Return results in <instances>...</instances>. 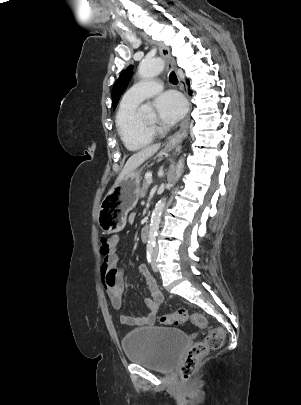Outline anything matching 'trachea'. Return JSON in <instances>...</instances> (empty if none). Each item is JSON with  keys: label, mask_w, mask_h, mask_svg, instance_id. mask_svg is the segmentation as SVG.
Wrapping results in <instances>:
<instances>
[{"label": "trachea", "mask_w": 301, "mask_h": 405, "mask_svg": "<svg viewBox=\"0 0 301 405\" xmlns=\"http://www.w3.org/2000/svg\"><path fill=\"white\" fill-rule=\"evenodd\" d=\"M170 82L172 83V84H174V85H176L177 83H178V79H177V76H176V74L172 71L171 73H170Z\"/></svg>", "instance_id": "3493384b"}]
</instances>
